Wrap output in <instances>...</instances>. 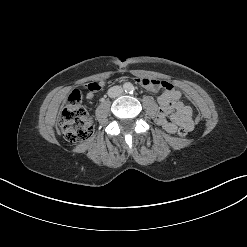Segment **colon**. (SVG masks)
<instances>
[{
  "instance_id": "colon-1",
  "label": "colon",
  "mask_w": 247,
  "mask_h": 247,
  "mask_svg": "<svg viewBox=\"0 0 247 247\" xmlns=\"http://www.w3.org/2000/svg\"><path fill=\"white\" fill-rule=\"evenodd\" d=\"M87 89L94 90L93 83ZM60 128L64 138L71 143L83 142L90 139L93 135V124L86 110L81 105V95L77 90L72 91L68 97V102L64 107L60 120ZM188 130L184 127L178 129V135L184 137Z\"/></svg>"
}]
</instances>
